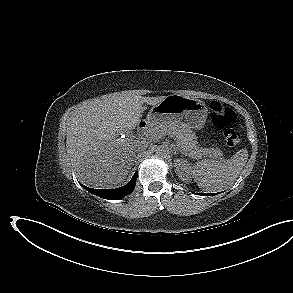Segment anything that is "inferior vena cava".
Listing matches in <instances>:
<instances>
[{"mask_svg": "<svg viewBox=\"0 0 293 293\" xmlns=\"http://www.w3.org/2000/svg\"><path fill=\"white\" fill-rule=\"evenodd\" d=\"M148 147V143L145 141H137V143L134 145V151L135 152H142L145 151Z\"/></svg>", "mask_w": 293, "mask_h": 293, "instance_id": "inferior-vena-cava-1", "label": "inferior vena cava"}]
</instances>
